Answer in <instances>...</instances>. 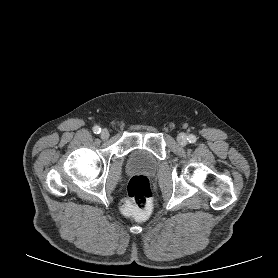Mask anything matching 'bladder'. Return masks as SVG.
<instances>
[{
  "mask_svg": "<svg viewBox=\"0 0 278 278\" xmlns=\"http://www.w3.org/2000/svg\"><path fill=\"white\" fill-rule=\"evenodd\" d=\"M158 167L157 158L148 150L136 148L130 151L127 158V170L153 174Z\"/></svg>",
  "mask_w": 278,
  "mask_h": 278,
  "instance_id": "31cf9c89",
  "label": "bladder"
}]
</instances>
